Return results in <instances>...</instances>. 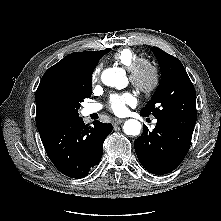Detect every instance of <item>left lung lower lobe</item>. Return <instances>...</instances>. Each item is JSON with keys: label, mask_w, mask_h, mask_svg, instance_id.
<instances>
[{"label": "left lung lower lobe", "mask_w": 221, "mask_h": 221, "mask_svg": "<svg viewBox=\"0 0 221 221\" xmlns=\"http://www.w3.org/2000/svg\"><path fill=\"white\" fill-rule=\"evenodd\" d=\"M134 142L137 157L150 173L164 175L176 169L186 156L193 130L180 129L157 122L152 132L144 126Z\"/></svg>", "instance_id": "obj_1"}]
</instances>
